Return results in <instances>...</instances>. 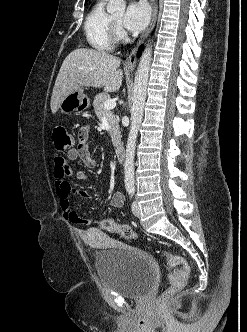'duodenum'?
I'll return each mask as SVG.
<instances>
[{
	"label": "duodenum",
	"instance_id": "duodenum-1",
	"mask_svg": "<svg viewBox=\"0 0 247 332\" xmlns=\"http://www.w3.org/2000/svg\"><path fill=\"white\" fill-rule=\"evenodd\" d=\"M115 154H116V157L119 161H123L124 158H125V149H124V147L122 145L116 146Z\"/></svg>",
	"mask_w": 247,
	"mask_h": 332
}]
</instances>
